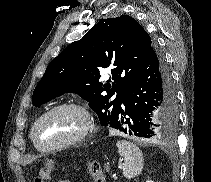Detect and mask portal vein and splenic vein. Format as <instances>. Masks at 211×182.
Listing matches in <instances>:
<instances>
[{"label":"portal vein and splenic vein","instance_id":"1","mask_svg":"<svg viewBox=\"0 0 211 182\" xmlns=\"http://www.w3.org/2000/svg\"><path fill=\"white\" fill-rule=\"evenodd\" d=\"M114 179H116V175H113Z\"/></svg>","mask_w":211,"mask_h":182}]
</instances>
